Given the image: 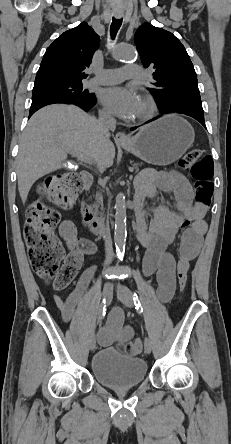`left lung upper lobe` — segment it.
<instances>
[{
	"label": "left lung upper lobe",
	"mask_w": 231,
	"mask_h": 444,
	"mask_svg": "<svg viewBox=\"0 0 231 444\" xmlns=\"http://www.w3.org/2000/svg\"><path fill=\"white\" fill-rule=\"evenodd\" d=\"M142 64L154 69L152 87L160 110L204 114L196 72L183 44L172 33L141 25L134 36Z\"/></svg>",
	"instance_id": "left-lung-upper-lobe-1"
}]
</instances>
